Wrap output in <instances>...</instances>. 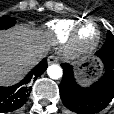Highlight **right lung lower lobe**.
I'll use <instances>...</instances> for the list:
<instances>
[{
    "instance_id": "right-lung-lower-lobe-1",
    "label": "right lung lower lobe",
    "mask_w": 114,
    "mask_h": 114,
    "mask_svg": "<svg viewBox=\"0 0 114 114\" xmlns=\"http://www.w3.org/2000/svg\"><path fill=\"white\" fill-rule=\"evenodd\" d=\"M47 68L44 58L18 84L11 87H0V113L12 112L22 107L31 93L30 82L36 80Z\"/></svg>"
}]
</instances>
